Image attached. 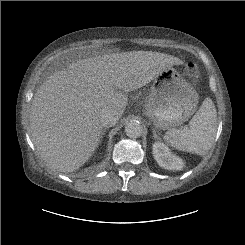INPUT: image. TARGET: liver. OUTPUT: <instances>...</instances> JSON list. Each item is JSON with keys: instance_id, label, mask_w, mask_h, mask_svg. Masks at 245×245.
Here are the masks:
<instances>
[{"instance_id": "1", "label": "liver", "mask_w": 245, "mask_h": 245, "mask_svg": "<svg viewBox=\"0 0 245 245\" xmlns=\"http://www.w3.org/2000/svg\"><path fill=\"white\" fill-rule=\"evenodd\" d=\"M183 64L152 51L111 53L80 59L56 71L38 88L31 106L30 135L47 166L79 169L100 143L105 107L121 116L127 92L148 84L164 68Z\"/></svg>"}]
</instances>
